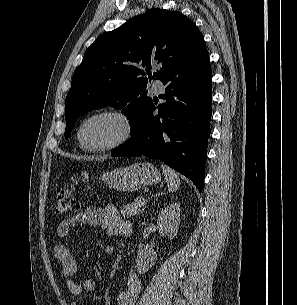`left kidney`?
Listing matches in <instances>:
<instances>
[{
    "instance_id": "left-kidney-1",
    "label": "left kidney",
    "mask_w": 297,
    "mask_h": 305,
    "mask_svg": "<svg viewBox=\"0 0 297 305\" xmlns=\"http://www.w3.org/2000/svg\"><path fill=\"white\" fill-rule=\"evenodd\" d=\"M181 208L179 203H173L165 207L159 212L157 224L164 230L169 239H173L177 234L180 223ZM156 252L140 244L136 259L137 271L140 274L147 272L156 262Z\"/></svg>"
}]
</instances>
